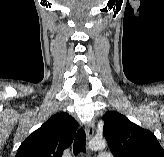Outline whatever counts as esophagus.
<instances>
[{"mask_svg": "<svg viewBox=\"0 0 164 157\" xmlns=\"http://www.w3.org/2000/svg\"><path fill=\"white\" fill-rule=\"evenodd\" d=\"M86 134L89 139L92 138L94 134V123L91 122L86 126Z\"/></svg>", "mask_w": 164, "mask_h": 157, "instance_id": "1", "label": "esophagus"}]
</instances>
